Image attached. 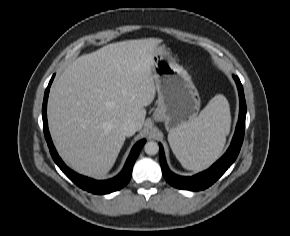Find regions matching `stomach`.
I'll list each match as a JSON object with an SVG mask.
<instances>
[{"label":"stomach","instance_id":"0dacf381","mask_svg":"<svg viewBox=\"0 0 290 236\" xmlns=\"http://www.w3.org/2000/svg\"><path fill=\"white\" fill-rule=\"evenodd\" d=\"M152 68L158 93L153 117L155 121L164 122L166 130L171 133L197 117L199 93L191 76L164 46L155 47Z\"/></svg>","mask_w":290,"mask_h":236}]
</instances>
